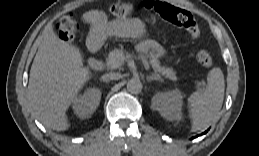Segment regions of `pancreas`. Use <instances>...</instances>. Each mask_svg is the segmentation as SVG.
Here are the masks:
<instances>
[{"label":"pancreas","mask_w":259,"mask_h":156,"mask_svg":"<svg viewBox=\"0 0 259 156\" xmlns=\"http://www.w3.org/2000/svg\"><path fill=\"white\" fill-rule=\"evenodd\" d=\"M151 45L152 44L150 42L142 43L140 51L150 59V65L156 73H159L165 78L175 81V72L172 68L161 66L158 55L156 54L155 50L151 48ZM131 57L132 55L124 51L123 49H114L109 53L106 59V66L108 69H119L123 65V63Z\"/></svg>","instance_id":"1"}]
</instances>
